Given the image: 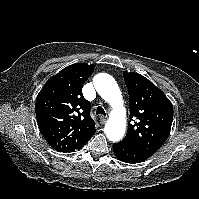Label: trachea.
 I'll return each mask as SVG.
<instances>
[{
    "instance_id": "trachea-1",
    "label": "trachea",
    "mask_w": 199,
    "mask_h": 199,
    "mask_svg": "<svg viewBox=\"0 0 199 199\" xmlns=\"http://www.w3.org/2000/svg\"><path fill=\"white\" fill-rule=\"evenodd\" d=\"M96 114L97 115H106V112H105V110H104V108L103 107H101V106H99L98 108H97V110H96Z\"/></svg>"
}]
</instances>
